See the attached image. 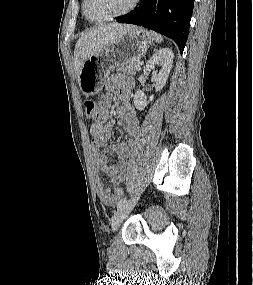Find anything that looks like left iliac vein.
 <instances>
[{
  "instance_id": "left-iliac-vein-1",
  "label": "left iliac vein",
  "mask_w": 253,
  "mask_h": 285,
  "mask_svg": "<svg viewBox=\"0 0 253 285\" xmlns=\"http://www.w3.org/2000/svg\"><path fill=\"white\" fill-rule=\"evenodd\" d=\"M137 200L138 198H133L131 200H128L124 205L118 208L111 222L113 231L117 230V228L120 226L123 220L129 215V213L135 206Z\"/></svg>"
}]
</instances>
